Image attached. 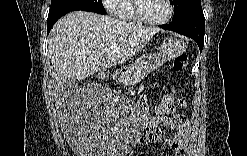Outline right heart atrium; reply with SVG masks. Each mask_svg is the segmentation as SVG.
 <instances>
[{
	"mask_svg": "<svg viewBox=\"0 0 247 156\" xmlns=\"http://www.w3.org/2000/svg\"><path fill=\"white\" fill-rule=\"evenodd\" d=\"M120 3L118 0H104L103 5L104 7L111 12L112 14L117 13V6Z\"/></svg>",
	"mask_w": 247,
	"mask_h": 156,
	"instance_id": "1",
	"label": "right heart atrium"
}]
</instances>
